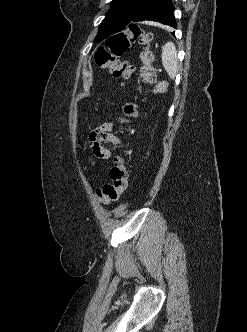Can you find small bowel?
<instances>
[{
    "mask_svg": "<svg viewBox=\"0 0 247 332\" xmlns=\"http://www.w3.org/2000/svg\"><path fill=\"white\" fill-rule=\"evenodd\" d=\"M89 145L92 154L98 159H108L110 151L104 146V143L118 144L120 141L113 132V123L106 122L98 126L89 133Z\"/></svg>",
    "mask_w": 247,
    "mask_h": 332,
    "instance_id": "c3829d8e",
    "label": "small bowel"
}]
</instances>
